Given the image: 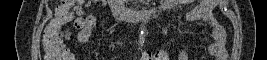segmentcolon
Wrapping results in <instances>:
<instances>
[{
  "instance_id": "5ec220e1",
  "label": "colon",
  "mask_w": 267,
  "mask_h": 60,
  "mask_svg": "<svg viewBox=\"0 0 267 60\" xmlns=\"http://www.w3.org/2000/svg\"><path fill=\"white\" fill-rule=\"evenodd\" d=\"M75 3H81V1H65L63 6L58 9L56 17L53 22L55 28L48 30L42 42V49L44 56L47 60H67L70 59L68 50L63 45L62 32L60 27L67 24L72 18L71 5ZM83 26L81 21H75L74 27L79 29Z\"/></svg>"
}]
</instances>
